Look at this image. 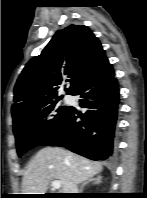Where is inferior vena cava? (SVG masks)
I'll return each instance as SVG.
<instances>
[{
  "label": "inferior vena cava",
  "mask_w": 147,
  "mask_h": 198,
  "mask_svg": "<svg viewBox=\"0 0 147 198\" xmlns=\"http://www.w3.org/2000/svg\"><path fill=\"white\" fill-rule=\"evenodd\" d=\"M70 193H79V191H78V188H77V185H76V184L72 185Z\"/></svg>",
  "instance_id": "inferior-vena-cava-1"
}]
</instances>
